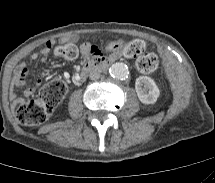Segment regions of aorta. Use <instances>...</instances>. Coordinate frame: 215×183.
Here are the masks:
<instances>
[{
  "instance_id": "obj_1",
  "label": "aorta",
  "mask_w": 215,
  "mask_h": 183,
  "mask_svg": "<svg viewBox=\"0 0 215 183\" xmlns=\"http://www.w3.org/2000/svg\"><path fill=\"white\" fill-rule=\"evenodd\" d=\"M109 73L112 77L123 80L128 77L129 70L127 65L121 62H117L109 68Z\"/></svg>"
}]
</instances>
